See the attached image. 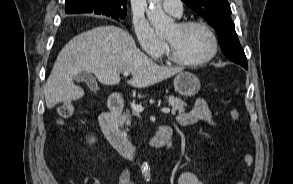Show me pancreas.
<instances>
[{
	"instance_id": "pancreas-1",
	"label": "pancreas",
	"mask_w": 293,
	"mask_h": 184,
	"mask_svg": "<svg viewBox=\"0 0 293 184\" xmlns=\"http://www.w3.org/2000/svg\"><path fill=\"white\" fill-rule=\"evenodd\" d=\"M169 105L172 107V112L175 113L178 111L179 113H182L185 111L184 106L186 105L180 98H176L174 96H169ZM133 115H137L136 111H132ZM130 119L131 115L130 112L127 111L119 120V124L122 127L124 124L130 125Z\"/></svg>"
}]
</instances>
